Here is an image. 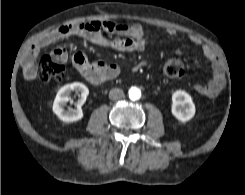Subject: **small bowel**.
<instances>
[{"instance_id": "1", "label": "small bowel", "mask_w": 245, "mask_h": 195, "mask_svg": "<svg viewBox=\"0 0 245 195\" xmlns=\"http://www.w3.org/2000/svg\"><path fill=\"white\" fill-rule=\"evenodd\" d=\"M105 33L114 35L115 39H109ZM168 33H176L174 29H168ZM77 36L94 44L111 47L119 51H143L146 46V35L140 24H125L112 21H90L59 26L37 40L27 51L23 61L24 76L33 80L37 75L35 59L40 51L63 38ZM192 43L199 46L205 58L212 65V77L207 83H197L194 89L200 95L215 97L225 85V73L222 63L211 47L197 35H189ZM54 57L62 60L68 59L65 49L59 47L53 51ZM76 70L91 84L99 85L115 78L120 68L116 64H108L102 61H89L82 53L72 57Z\"/></svg>"}]
</instances>
